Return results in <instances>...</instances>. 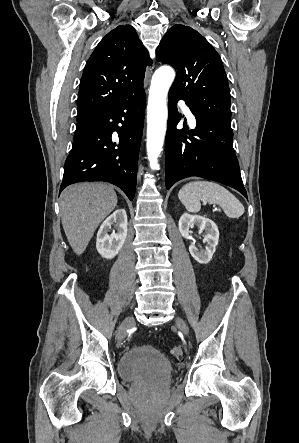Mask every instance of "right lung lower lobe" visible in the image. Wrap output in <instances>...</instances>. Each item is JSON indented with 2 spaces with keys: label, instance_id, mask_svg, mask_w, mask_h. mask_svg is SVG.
<instances>
[{
  "label": "right lung lower lobe",
  "instance_id": "1",
  "mask_svg": "<svg viewBox=\"0 0 299 443\" xmlns=\"http://www.w3.org/2000/svg\"><path fill=\"white\" fill-rule=\"evenodd\" d=\"M144 109L145 91L142 88L98 113L83 134L75 139L64 165L61 191L77 182L104 181L118 186L133 200ZM114 131L118 133L117 139L112 137Z\"/></svg>",
  "mask_w": 299,
  "mask_h": 443
}]
</instances>
